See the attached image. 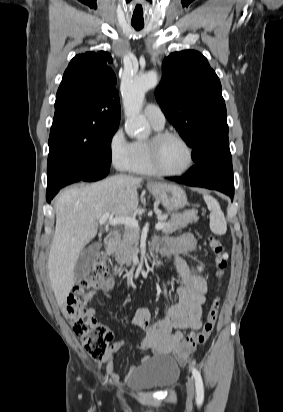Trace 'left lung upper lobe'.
<instances>
[{
  "instance_id": "1",
  "label": "left lung upper lobe",
  "mask_w": 283,
  "mask_h": 412,
  "mask_svg": "<svg viewBox=\"0 0 283 412\" xmlns=\"http://www.w3.org/2000/svg\"><path fill=\"white\" fill-rule=\"evenodd\" d=\"M156 99L188 146L195 161L221 152L232 162L226 106L219 78L194 50L171 53L163 61Z\"/></svg>"
}]
</instances>
